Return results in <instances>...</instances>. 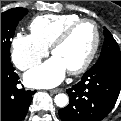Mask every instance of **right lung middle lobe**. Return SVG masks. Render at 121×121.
I'll return each instance as SVG.
<instances>
[{
    "mask_svg": "<svg viewBox=\"0 0 121 121\" xmlns=\"http://www.w3.org/2000/svg\"><path fill=\"white\" fill-rule=\"evenodd\" d=\"M27 9L13 8L1 13V61L10 62V39L14 36L15 28L26 14Z\"/></svg>",
    "mask_w": 121,
    "mask_h": 121,
    "instance_id": "right-lung-middle-lobe-1",
    "label": "right lung middle lobe"
}]
</instances>
